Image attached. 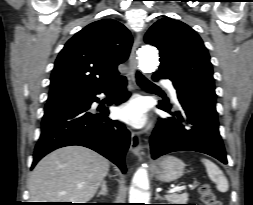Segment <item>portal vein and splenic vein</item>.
Segmentation results:
<instances>
[{
  "label": "portal vein and splenic vein",
  "mask_w": 253,
  "mask_h": 205,
  "mask_svg": "<svg viewBox=\"0 0 253 205\" xmlns=\"http://www.w3.org/2000/svg\"><path fill=\"white\" fill-rule=\"evenodd\" d=\"M186 186H176L174 188H171L167 191V193H173V192H176V191H179V190H182V189H185Z\"/></svg>",
  "instance_id": "portal-vein-and-splenic-vein-1"
}]
</instances>
